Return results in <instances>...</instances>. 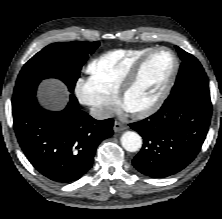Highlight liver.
Instances as JSON below:
<instances>
[{
    "label": "liver",
    "mask_w": 222,
    "mask_h": 219,
    "mask_svg": "<svg viewBox=\"0 0 222 219\" xmlns=\"http://www.w3.org/2000/svg\"><path fill=\"white\" fill-rule=\"evenodd\" d=\"M39 97L53 110L62 109L67 103V90L62 82L56 79L44 80L39 87Z\"/></svg>",
    "instance_id": "obj_1"
}]
</instances>
